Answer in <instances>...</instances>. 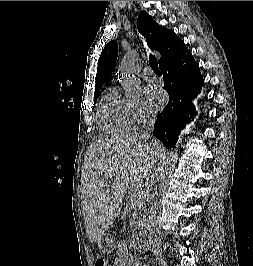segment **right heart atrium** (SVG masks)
Returning <instances> with one entry per match:
<instances>
[{"mask_svg": "<svg viewBox=\"0 0 253 266\" xmlns=\"http://www.w3.org/2000/svg\"><path fill=\"white\" fill-rule=\"evenodd\" d=\"M125 105L133 125H140L153 117L152 110L141 99H128Z\"/></svg>", "mask_w": 253, "mask_h": 266, "instance_id": "obj_1", "label": "right heart atrium"}]
</instances>
